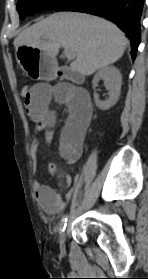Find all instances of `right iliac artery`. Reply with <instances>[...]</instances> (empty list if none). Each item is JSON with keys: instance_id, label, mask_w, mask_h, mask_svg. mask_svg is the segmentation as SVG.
Masks as SVG:
<instances>
[{"instance_id": "1", "label": "right iliac artery", "mask_w": 148, "mask_h": 279, "mask_svg": "<svg viewBox=\"0 0 148 279\" xmlns=\"http://www.w3.org/2000/svg\"><path fill=\"white\" fill-rule=\"evenodd\" d=\"M67 226V216H65L60 223V232H64Z\"/></svg>"}]
</instances>
